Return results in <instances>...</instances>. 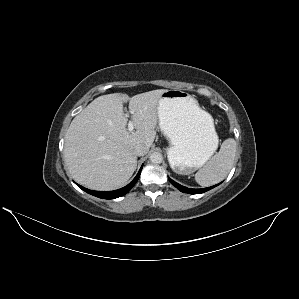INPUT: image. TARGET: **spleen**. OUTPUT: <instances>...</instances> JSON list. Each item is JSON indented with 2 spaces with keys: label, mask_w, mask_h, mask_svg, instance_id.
<instances>
[{
  "label": "spleen",
  "mask_w": 299,
  "mask_h": 299,
  "mask_svg": "<svg viewBox=\"0 0 299 299\" xmlns=\"http://www.w3.org/2000/svg\"><path fill=\"white\" fill-rule=\"evenodd\" d=\"M235 156L236 141L228 138L222 143L219 152L195 174L196 182L200 186L208 187L222 181L233 167Z\"/></svg>",
  "instance_id": "3e777b00"
}]
</instances>
